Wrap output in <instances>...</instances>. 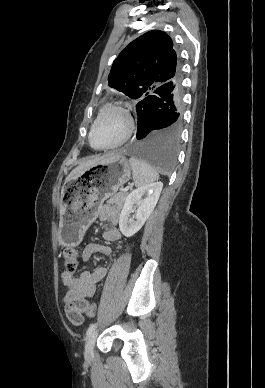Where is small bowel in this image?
Wrapping results in <instances>:
<instances>
[{"label": "small bowel", "instance_id": "1", "mask_svg": "<svg viewBox=\"0 0 265 388\" xmlns=\"http://www.w3.org/2000/svg\"><path fill=\"white\" fill-rule=\"evenodd\" d=\"M121 209L118 206L104 205L100 208L98 217L100 221L109 224L103 233L106 242L112 243L120 240L121 232L117 227L120 220ZM112 248L108 245L90 243L82 251V259L88 261L94 254H112ZM107 274L105 267H97L93 270H84L78 276L67 270L62 273V282L66 287L64 295V310L68 320L73 325L82 323L86 307L96 292V284Z\"/></svg>", "mask_w": 265, "mask_h": 388}]
</instances>
